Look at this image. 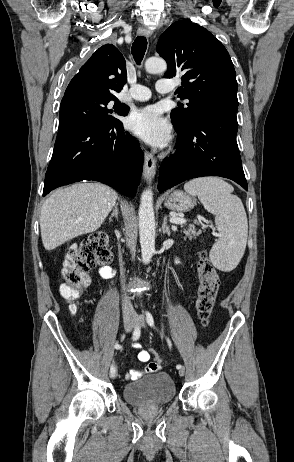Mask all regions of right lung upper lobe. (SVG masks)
Listing matches in <instances>:
<instances>
[{"label":"right lung upper lobe","mask_w":294,"mask_h":462,"mask_svg":"<svg viewBox=\"0 0 294 462\" xmlns=\"http://www.w3.org/2000/svg\"><path fill=\"white\" fill-rule=\"evenodd\" d=\"M126 63L112 44L101 46L70 81L64 97L75 94L115 96L126 83Z\"/></svg>","instance_id":"right-lung-upper-lobe-1"}]
</instances>
